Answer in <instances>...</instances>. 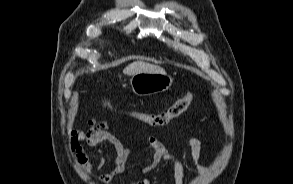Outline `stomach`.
<instances>
[{
  "label": "stomach",
  "mask_w": 293,
  "mask_h": 184,
  "mask_svg": "<svg viewBox=\"0 0 293 184\" xmlns=\"http://www.w3.org/2000/svg\"><path fill=\"white\" fill-rule=\"evenodd\" d=\"M173 83V78L166 73L141 72L132 75L131 90L138 96H148L167 91Z\"/></svg>",
  "instance_id": "stomach-1"
}]
</instances>
